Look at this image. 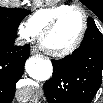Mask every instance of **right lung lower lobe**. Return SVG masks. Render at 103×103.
Wrapping results in <instances>:
<instances>
[{
    "label": "right lung lower lobe",
    "instance_id": "1",
    "mask_svg": "<svg viewBox=\"0 0 103 103\" xmlns=\"http://www.w3.org/2000/svg\"><path fill=\"white\" fill-rule=\"evenodd\" d=\"M15 37L0 34V103L11 102L24 72L30 46H16Z\"/></svg>",
    "mask_w": 103,
    "mask_h": 103
}]
</instances>
